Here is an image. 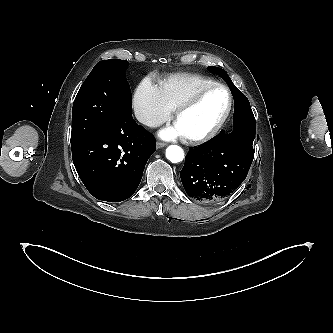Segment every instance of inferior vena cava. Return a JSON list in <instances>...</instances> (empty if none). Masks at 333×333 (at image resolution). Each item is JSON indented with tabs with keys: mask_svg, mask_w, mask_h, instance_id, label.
<instances>
[{
	"mask_svg": "<svg viewBox=\"0 0 333 333\" xmlns=\"http://www.w3.org/2000/svg\"><path fill=\"white\" fill-rule=\"evenodd\" d=\"M135 116L139 122H141L147 126H150V127H157L162 123L161 121L155 119L151 115L141 112V111H136Z\"/></svg>",
	"mask_w": 333,
	"mask_h": 333,
	"instance_id": "obj_1",
	"label": "inferior vena cava"
}]
</instances>
